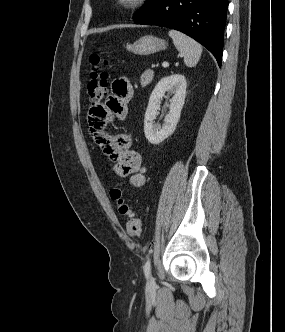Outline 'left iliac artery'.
Wrapping results in <instances>:
<instances>
[{"label": "left iliac artery", "instance_id": "1", "mask_svg": "<svg viewBox=\"0 0 285 332\" xmlns=\"http://www.w3.org/2000/svg\"><path fill=\"white\" fill-rule=\"evenodd\" d=\"M144 273H145L146 278H149L150 273H151V260L149 257L144 265Z\"/></svg>", "mask_w": 285, "mask_h": 332}]
</instances>
